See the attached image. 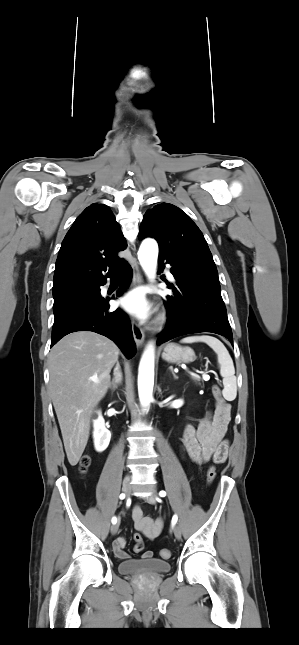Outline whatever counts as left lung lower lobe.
<instances>
[{"label": "left lung lower lobe", "instance_id": "0a47b994", "mask_svg": "<svg viewBox=\"0 0 299 645\" xmlns=\"http://www.w3.org/2000/svg\"><path fill=\"white\" fill-rule=\"evenodd\" d=\"M167 263L172 266L171 273L176 283L169 284L174 296H167L165 301L168 322L158 345L181 335L199 332L222 335L233 345L217 268L190 263L181 258L160 257V270Z\"/></svg>", "mask_w": 299, "mask_h": 645}]
</instances>
